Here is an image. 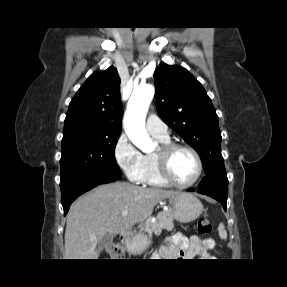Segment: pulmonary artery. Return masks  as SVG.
I'll return each instance as SVG.
<instances>
[{"label": "pulmonary artery", "mask_w": 287, "mask_h": 287, "mask_svg": "<svg viewBox=\"0 0 287 287\" xmlns=\"http://www.w3.org/2000/svg\"><path fill=\"white\" fill-rule=\"evenodd\" d=\"M148 132L158 139H168V126L155 114H150L146 120Z\"/></svg>", "instance_id": "1"}]
</instances>
